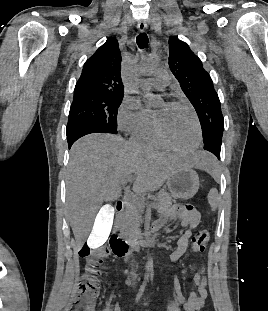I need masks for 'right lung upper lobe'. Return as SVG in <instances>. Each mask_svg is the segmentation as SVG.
I'll use <instances>...</instances> for the list:
<instances>
[{
  "label": "right lung upper lobe",
  "instance_id": "obj_1",
  "mask_svg": "<svg viewBox=\"0 0 268 311\" xmlns=\"http://www.w3.org/2000/svg\"><path fill=\"white\" fill-rule=\"evenodd\" d=\"M120 71L121 53L118 42L114 37H110L85 62L74 93L123 96L124 87Z\"/></svg>",
  "mask_w": 268,
  "mask_h": 311
}]
</instances>
